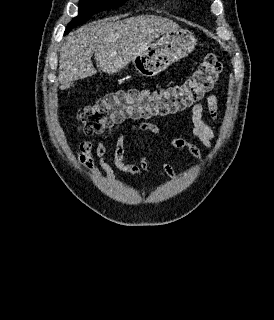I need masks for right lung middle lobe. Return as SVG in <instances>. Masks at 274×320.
<instances>
[{
	"label": "right lung middle lobe",
	"instance_id": "dd1d6c3e",
	"mask_svg": "<svg viewBox=\"0 0 274 320\" xmlns=\"http://www.w3.org/2000/svg\"><path fill=\"white\" fill-rule=\"evenodd\" d=\"M127 0H79V15L75 17L66 27L67 34L72 28L85 23L97 12L114 9L124 5Z\"/></svg>",
	"mask_w": 274,
	"mask_h": 320
}]
</instances>
